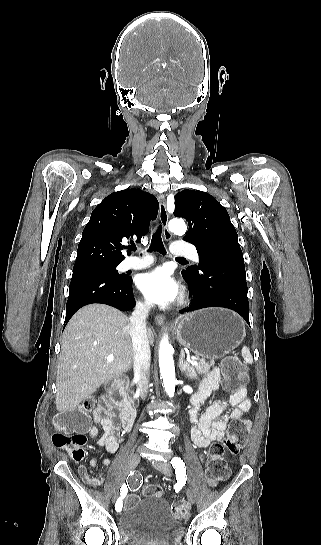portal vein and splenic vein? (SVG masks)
<instances>
[{
    "mask_svg": "<svg viewBox=\"0 0 321 545\" xmlns=\"http://www.w3.org/2000/svg\"><path fill=\"white\" fill-rule=\"evenodd\" d=\"M190 359H195V355L190 356ZM106 361L107 363H112V361H114L113 355H108Z\"/></svg>",
    "mask_w": 321,
    "mask_h": 545,
    "instance_id": "obj_1",
    "label": "portal vein and splenic vein"
}]
</instances>
